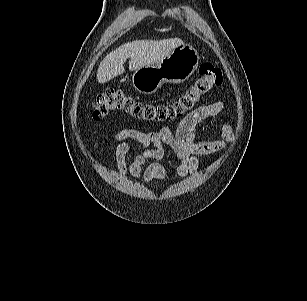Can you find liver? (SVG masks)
I'll return each instance as SVG.
<instances>
[{
    "label": "liver",
    "instance_id": "6515ba94",
    "mask_svg": "<svg viewBox=\"0 0 307 301\" xmlns=\"http://www.w3.org/2000/svg\"><path fill=\"white\" fill-rule=\"evenodd\" d=\"M183 45L178 38L160 41L136 40L126 43L109 53L100 63L97 70L99 83H106L125 72L123 64L128 58L129 70H137L155 64L165 58L174 48Z\"/></svg>",
    "mask_w": 307,
    "mask_h": 301
}]
</instances>
